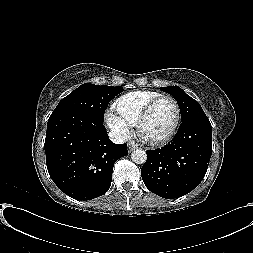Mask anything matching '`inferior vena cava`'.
I'll list each match as a JSON object with an SVG mask.
<instances>
[{"mask_svg":"<svg viewBox=\"0 0 253 253\" xmlns=\"http://www.w3.org/2000/svg\"><path fill=\"white\" fill-rule=\"evenodd\" d=\"M109 137L110 140L116 144H122L128 140L127 136L117 132H110Z\"/></svg>","mask_w":253,"mask_h":253,"instance_id":"602c4592","label":"inferior vena cava"}]
</instances>
